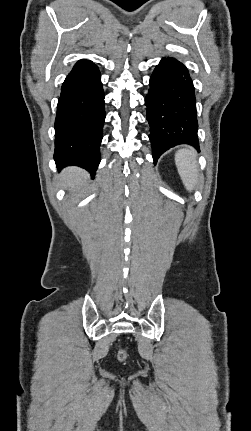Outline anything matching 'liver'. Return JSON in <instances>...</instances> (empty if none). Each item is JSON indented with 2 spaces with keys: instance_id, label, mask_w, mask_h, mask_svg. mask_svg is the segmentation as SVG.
Wrapping results in <instances>:
<instances>
[{
  "instance_id": "1",
  "label": "liver",
  "mask_w": 251,
  "mask_h": 431,
  "mask_svg": "<svg viewBox=\"0 0 251 431\" xmlns=\"http://www.w3.org/2000/svg\"><path fill=\"white\" fill-rule=\"evenodd\" d=\"M87 177V172L78 167H68L60 174L62 185L72 193H76L84 186Z\"/></svg>"
}]
</instances>
